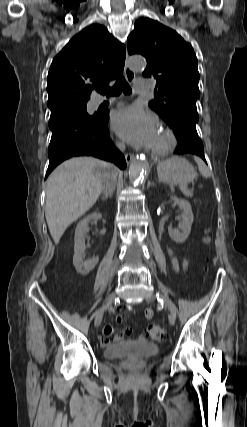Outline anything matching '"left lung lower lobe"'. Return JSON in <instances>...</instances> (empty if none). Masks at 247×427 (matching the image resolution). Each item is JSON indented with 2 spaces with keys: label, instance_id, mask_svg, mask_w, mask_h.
<instances>
[{
  "label": "left lung lower lobe",
  "instance_id": "left-lung-lower-lobe-1",
  "mask_svg": "<svg viewBox=\"0 0 247 427\" xmlns=\"http://www.w3.org/2000/svg\"><path fill=\"white\" fill-rule=\"evenodd\" d=\"M178 140L175 154H193L206 162L204 148L196 130V124L187 120H177L169 125Z\"/></svg>",
  "mask_w": 247,
  "mask_h": 427
}]
</instances>
